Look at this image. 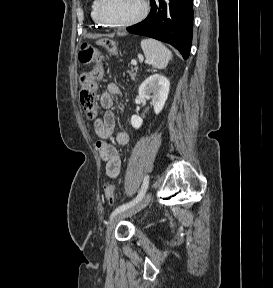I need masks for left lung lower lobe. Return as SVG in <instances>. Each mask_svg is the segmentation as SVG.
<instances>
[{
  "mask_svg": "<svg viewBox=\"0 0 273 288\" xmlns=\"http://www.w3.org/2000/svg\"><path fill=\"white\" fill-rule=\"evenodd\" d=\"M151 11L127 31L169 43L189 57L193 31V0H150Z\"/></svg>",
  "mask_w": 273,
  "mask_h": 288,
  "instance_id": "1",
  "label": "left lung lower lobe"
}]
</instances>
